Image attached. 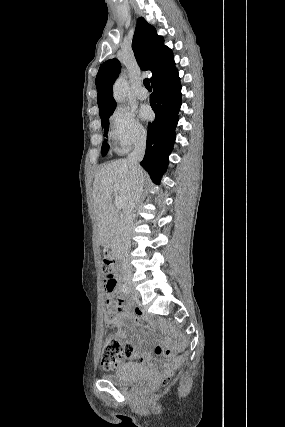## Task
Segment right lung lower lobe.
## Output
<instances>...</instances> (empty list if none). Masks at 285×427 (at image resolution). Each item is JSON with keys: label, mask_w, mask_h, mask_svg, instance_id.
I'll return each mask as SVG.
<instances>
[{"label": "right lung lower lobe", "mask_w": 285, "mask_h": 427, "mask_svg": "<svg viewBox=\"0 0 285 427\" xmlns=\"http://www.w3.org/2000/svg\"><path fill=\"white\" fill-rule=\"evenodd\" d=\"M152 86L150 104L156 118L148 124L146 152L140 165L155 182H159L175 142V128L182 103L178 72Z\"/></svg>", "instance_id": "98d812e1"}]
</instances>
